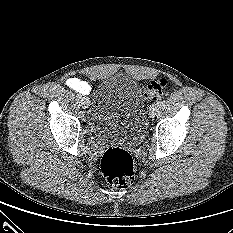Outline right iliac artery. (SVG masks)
Listing matches in <instances>:
<instances>
[{
    "mask_svg": "<svg viewBox=\"0 0 233 233\" xmlns=\"http://www.w3.org/2000/svg\"><path fill=\"white\" fill-rule=\"evenodd\" d=\"M81 98H82V96H81V95H79V94H77V95H76V100H78V101H79Z\"/></svg>",
    "mask_w": 233,
    "mask_h": 233,
    "instance_id": "right-iliac-artery-1",
    "label": "right iliac artery"
}]
</instances>
